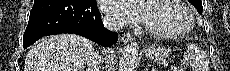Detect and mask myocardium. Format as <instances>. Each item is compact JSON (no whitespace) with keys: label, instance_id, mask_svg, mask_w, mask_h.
<instances>
[{"label":"myocardium","instance_id":"1","mask_svg":"<svg viewBox=\"0 0 230 71\" xmlns=\"http://www.w3.org/2000/svg\"><path fill=\"white\" fill-rule=\"evenodd\" d=\"M171 1L177 4L184 11L187 17V25L183 29L179 31H173V32L158 31L149 27L148 25H145L144 29L149 35L160 39H178L189 34L195 27L194 13L192 12L191 8L186 4V2L181 0H171Z\"/></svg>","mask_w":230,"mask_h":71}]
</instances>
